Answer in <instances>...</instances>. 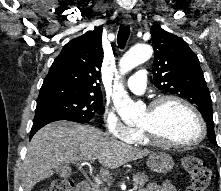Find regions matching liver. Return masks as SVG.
Here are the masks:
<instances>
[{
	"instance_id": "6515ba94",
	"label": "liver",
	"mask_w": 221,
	"mask_h": 191,
	"mask_svg": "<svg viewBox=\"0 0 221 191\" xmlns=\"http://www.w3.org/2000/svg\"><path fill=\"white\" fill-rule=\"evenodd\" d=\"M152 154L115 140L92 126L58 121L40 129L29 143L23 163V188L31 191L38 182L53 175V170L65 163L98 159L104 180L109 169Z\"/></svg>"
}]
</instances>
